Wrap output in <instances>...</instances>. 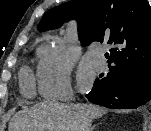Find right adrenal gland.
<instances>
[{
	"mask_svg": "<svg viewBox=\"0 0 151 131\" xmlns=\"http://www.w3.org/2000/svg\"><path fill=\"white\" fill-rule=\"evenodd\" d=\"M98 124H100V123H98ZM95 127H96V125H94V126L91 128V131H94Z\"/></svg>",
	"mask_w": 151,
	"mask_h": 131,
	"instance_id": "obj_1",
	"label": "right adrenal gland"
}]
</instances>
